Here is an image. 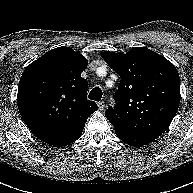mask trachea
I'll return each instance as SVG.
<instances>
[{
    "instance_id": "obj_1",
    "label": "trachea",
    "mask_w": 193,
    "mask_h": 193,
    "mask_svg": "<svg viewBox=\"0 0 193 193\" xmlns=\"http://www.w3.org/2000/svg\"><path fill=\"white\" fill-rule=\"evenodd\" d=\"M88 97L90 100L98 102L102 98V90L99 87H95L94 89L91 90Z\"/></svg>"
}]
</instances>
